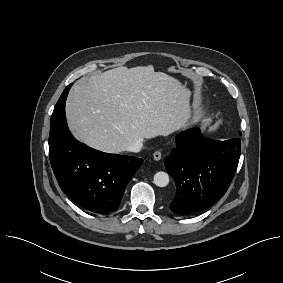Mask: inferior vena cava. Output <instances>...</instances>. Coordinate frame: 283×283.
I'll return each mask as SVG.
<instances>
[{
	"mask_svg": "<svg viewBox=\"0 0 283 283\" xmlns=\"http://www.w3.org/2000/svg\"><path fill=\"white\" fill-rule=\"evenodd\" d=\"M143 147V141L142 140H136V141H133L132 143H130L126 150L127 151H130V152H139L141 151Z\"/></svg>",
	"mask_w": 283,
	"mask_h": 283,
	"instance_id": "602c4592",
	"label": "inferior vena cava"
}]
</instances>
